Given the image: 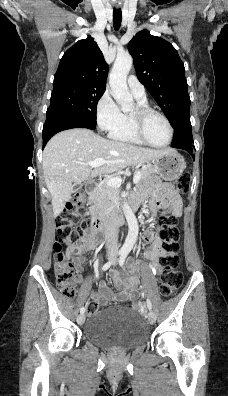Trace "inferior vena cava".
I'll list each match as a JSON object with an SVG mask.
<instances>
[{
  "mask_svg": "<svg viewBox=\"0 0 228 396\" xmlns=\"http://www.w3.org/2000/svg\"><path fill=\"white\" fill-rule=\"evenodd\" d=\"M107 239V248L110 253H116L118 250L117 240L118 232L116 228H111L105 233Z\"/></svg>",
  "mask_w": 228,
  "mask_h": 396,
  "instance_id": "obj_1",
  "label": "inferior vena cava"
}]
</instances>
